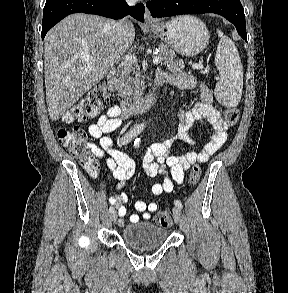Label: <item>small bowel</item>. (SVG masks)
<instances>
[{"label": "small bowel", "instance_id": "small-bowel-1", "mask_svg": "<svg viewBox=\"0 0 288 293\" xmlns=\"http://www.w3.org/2000/svg\"><path fill=\"white\" fill-rule=\"evenodd\" d=\"M166 83L177 86L186 91L198 90L199 100L190 109L182 107L178 110L179 125L177 132L162 142L153 143L147 151L140 157L143 168L147 176L151 178L160 177L162 183H155L151 187L154 196L163 193H170L174 188V183H182L184 173L195 163H205L210 157L221 148L227 139L229 125L221 118L219 111L213 105V94L208 86L200 79L189 76L185 73L170 74L160 72ZM118 105H111L105 114L98 117L97 122L89 125L90 136L98 140V144H91V149L95 156L102 158L106 154L107 167L112 171L113 177L120 183L128 180L135 171V161L124 152L114 149L109 133L118 129L122 120L126 117ZM199 123L209 124L213 127L214 133L200 152L189 151L181 155L171 152V148L176 141L195 144L190 136L191 127ZM110 203L117 209L120 220L126 216L127 209L124 204L128 201L126 194L110 197ZM137 212H140L143 219H149L151 213L157 210L155 202H145L139 200L134 205ZM140 216L137 213L131 214L129 221L137 223Z\"/></svg>", "mask_w": 288, "mask_h": 293}]
</instances>
